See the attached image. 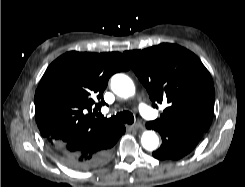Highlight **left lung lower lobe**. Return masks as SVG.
Returning <instances> with one entry per match:
<instances>
[{
  "mask_svg": "<svg viewBox=\"0 0 245 187\" xmlns=\"http://www.w3.org/2000/svg\"><path fill=\"white\" fill-rule=\"evenodd\" d=\"M148 129L158 131L162 138L161 147L153 152L159 160H179L189 154L198 144L204 132L199 130H170L148 122Z\"/></svg>",
  "mask_w": 245,
  "mask_h": 187,
  "instance_id": "left-lung-lower-lobe-1",
  "label": "left lung lower lobe"
}]
</instances>
